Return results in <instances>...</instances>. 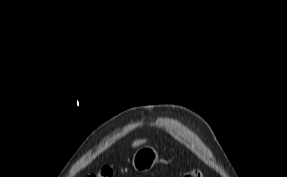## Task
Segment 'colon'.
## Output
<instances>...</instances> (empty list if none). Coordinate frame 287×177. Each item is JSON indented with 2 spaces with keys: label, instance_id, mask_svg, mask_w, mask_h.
<instances>
[{
  "label": "colon",
  "instance_id": "colon-1",
  "mask_svg": "<svg viewBox=\"0 0 287 177\" xmlns=\"http://www.w3.org/2000/svg\"><path fill=\"white\" fill-rule=\"evenodd\" d=\"M87 177H113V171L109 167H104L89 174ZM182 177H203V173L199 169H191L184 173Z\"/></svg>",
  "mask_w": 287,
  "mask_h": 177
}]
</instances>
